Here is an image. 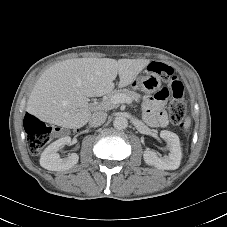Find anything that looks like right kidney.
Segmentation results:
<instances>
[{
  "instance_id": "right-kidney-1",
  "label": "right kidney",
  "mask_w": 227,
  "mask_h": 227,
  "mask_svg": "<svg viewBox=\"0 0 227 227\" xmlns=\"http://www.w3.org/2000/svg\"><path fill=\"white\" fill-rule=\"evenodd\" d=\"M70 143L71 138L69 136L51 143L41 154L40 165L50 171H63L72 168L77 164L79 156L76 153H72L66 158H60L57 153L59 149Z\"/></svg>"
}]
</instances>
